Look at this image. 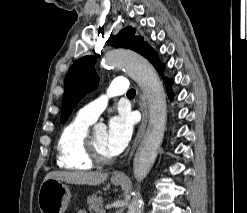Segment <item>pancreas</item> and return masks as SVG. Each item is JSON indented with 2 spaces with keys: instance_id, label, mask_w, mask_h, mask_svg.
<instances>
[{
  "instance_id": "cf45deb5",
  "label": "pancreas",
  "mask_w": 247,
  "mask_h": 213,
  "mask_svg": "<svg viewBox=\"0 0 247 213\" xmlns=\"http://www.w3.org/2000/svg\"><path fill=\"white\" fill-rule=\"evenodd\" d=\"M88 210L90 213H102L103 210V198L98 196L97 193L88 196L87 198Z\"/></svg>"
}]
</instances>
